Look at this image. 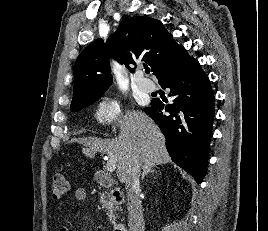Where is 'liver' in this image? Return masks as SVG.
Here are the masks:
<instances>
[{"label":"liver","instance_id":"obj_1","mask_svg":"<svg viewBox=\"0 0 268 231\" xmlns=\"http://www.w3.org/2000/svg\"><path fill=\"white\" fill-rule=\"evenodd\" d=\"M120 133L114 139L88 137L78 139L83 153L94 157L97 152L117 158V177L124 182L133 155L145 164L161 165L171 161L165 138L154 121L141 111H128L118 119Z\"/></svg>","mask_w":268,"mask_h":231}]
</instances>
